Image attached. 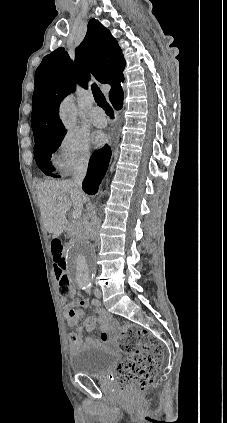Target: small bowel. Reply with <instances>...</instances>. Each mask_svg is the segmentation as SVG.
<instances>
[{"label": "small bowel", "instance_id": "1", "mask_svg": "<svg viewBox=\"0 0 227 423\" xmlns=\"http://www.w3.org/2000/svg\"><path fill=\"white\" fill-rule=\"evenodd\" d=\"M75 288L71 285L68 294L70 297L75 296ZM61 303L63 305V315L67 324L71 327L77 326L82 321V327H77L74 332L70 333L69 341L72 350H75L82 343V332L83 329L87 332H92L96 326L102 330L100 337L101 342H107L108 334L106 330L112 321L111 315L101 307V305L93 301L89 303L85 299L73 300L67 304L66 297H61ZM90 307L94 314L85 316L82 308ZM93 339H88L87 343H94Z\"/></svg>", "mask_w": 227, "mask_h": 423}]
</instances>
